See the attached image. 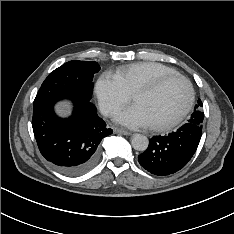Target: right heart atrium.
Here are the masks:
<instances>
[{"mask_svg":"<svg viewBox=\"0 0 234 234\" xmlns=\"http://www.w3.org/2000/svg\"><path fill=\"white\" fill-rule=\"evenodd\" d=\"M95 93L102 112L113 115L130 101V94L120 79L111 72L102 73L95 85Z\"/></svg>","mask_w":234,"mask_h":234,"instance_id":"1","label":"right heart atrium"}]
</instances>
